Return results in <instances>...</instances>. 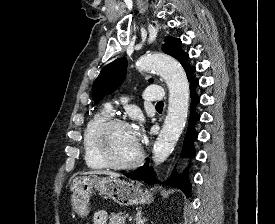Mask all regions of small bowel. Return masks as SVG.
<instances>
[{"instance_id":"1","label":"small bowel","mask_w":275,"mask_h":224,"mask_svg":"<svg viewBox=\"0 0 275 224\" xmlns=\"http://www.w3.org/2000/svg\"><path fill=\"white\" fill-rule=\"evenodd\" d=\"M94 224H107V214L105 211L99 210L95 213Z\"/></svg>"}]
</instances>
